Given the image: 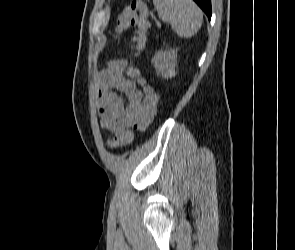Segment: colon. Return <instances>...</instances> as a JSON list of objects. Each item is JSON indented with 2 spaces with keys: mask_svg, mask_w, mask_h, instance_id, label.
<instances>
[{
  "mask_svg": "<svg viewBox=\"0 0 295 250\" xmlns=\"http://www.w3.org/2000/svg\"><path fill=\"white\" fill-rule=\"evenodd\" d=\"M129 27L134 29V33L131 40V50L135 57L140 55L144 49L148 21H147V7L145 3L140 1H133L125 7V9L116 18V30L122 32ZM127 75L130 78L136 79L142 86L144 91V113L137 128L139 130H145L153 121L157 111V95L153 89L146 85L145 82L140 78L138 70L130 65L127 69ZM108 146L111 149H118L121 144L118 141L111 140L108 142Z\"/></svg>",
  "mask_w": 295,
  "mask_h": 250,
  "instance_id": "1",
  "label": "colon"
}]
</instances>
